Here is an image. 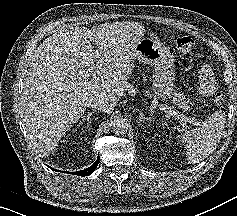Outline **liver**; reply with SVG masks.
<instances>
[{"label":"liver","mask_w":237,"mask_h":216,"mask_svg":"<svg viewBox=\"0 0 237 216\" xmlns=\"http://www.w3.org/2000/svg\"><path fill=\"white\" fill-rule=\"evenodd\" d=\"M102 30L64 28L45 39L22 79V109L28 137L39 149H54L78 122L86 103L105 94L116 105L132 68L120 59L115 40L99 37ZM95 42L96 48L92 46ZM97 75L98 81H88Z\"/></svg>","instance_id":"6515ba94"}]
</instances>
